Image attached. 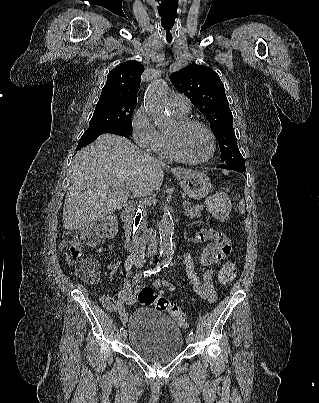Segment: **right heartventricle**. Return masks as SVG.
Listing matches in <instances>:
<instances>
[{"label":"right heart ventricle","mask_w":319,"mask_h":403,"mask_svg":"<svg viewBox=\"0 0 319 403\" xmlns=\"http://www.w3.org/2000/svg\"><path fill=\"white\" fill-rule=\"evenodd\" d=\"M173 114L176 116L177 119H183L185 118L186 114H180L175 111H172ZM162 135V150H161V155L164 156L165 158L168 159H175L172 152L171 148L169 145L168 137L166 133H161Z\"/></svg>","instance_id":"right-heart-ventricle-1"}]
</instances>
